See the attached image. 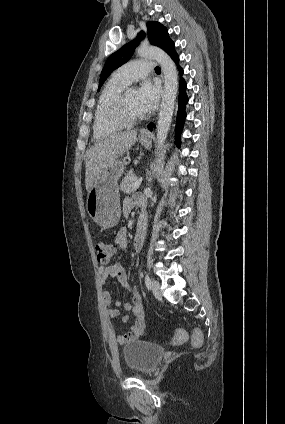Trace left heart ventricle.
Segmentation results:
<instances>
[{"mask_svg": "<svg viewBox=\"0 0 285 424\" xmlns=\"http://www.w3.org/2000/svg\"><path fill=\"white\" fill-rule=\"evenodd\" d=\"M136 93L128 91L125 97V110L130 117H140L143 113L140 111L136 101Z\"/></svg>", "mask_w": 285, "mask_h": 424, "instance_id": "left-heart-ventricle-1", "label": "left heart ventricle"}]
</instances>
